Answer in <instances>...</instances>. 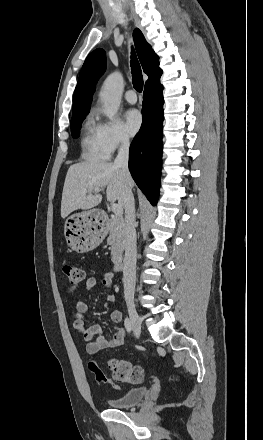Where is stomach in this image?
<instances>
[{
	"label": "stomach",
	"instance_id": "1",
	"mask_svg": "<svg viewBox=\"0 0 263 440\" xmlns=\"http://www.w3.org/2000/svg\"><path fill=\"white\" fill-rule=\"evenodd\" d=\"M98 217L96 210H90L67 218L64 234L72 250L86 253L100 245L107 230L104 224L99 223Z\"/></svg>",
	"mask_w": 263,
	"mask_h": 440
}]
</instances>
